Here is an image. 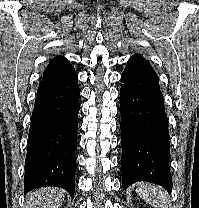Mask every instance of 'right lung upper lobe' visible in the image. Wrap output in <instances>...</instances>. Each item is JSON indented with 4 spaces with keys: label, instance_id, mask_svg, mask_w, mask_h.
<instances>
[{
    "label": "right lung upper lobe",
    "instance_id": "obj_1",
    "mask_svg": "<svg viewBox=\"0 0 199 208\" xmlns=\"http://www.w3.org/2000/svg\"><path fill=\"white\" fill-rule=\"evenodd\" d=\"M75 74V70L68 60L62 56L54 58L46 67L42 82L58 80Z\"/></svg>",
    "mask_w": 199,
    "mask_h": 208
}]
</instances>
